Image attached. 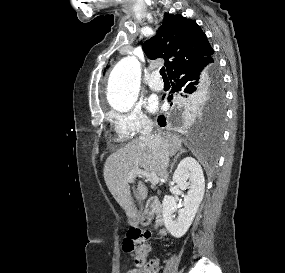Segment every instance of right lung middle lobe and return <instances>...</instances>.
<instances>
[{
	"label": "right lung middle lobe",
	"mask_w": 285,
	"mask_h": 273,
	"mask_svg": "<svg viewBox=\"0 0 285 273\" xmlns=\"http://www.w3.org/2000/svg\"><path fill=\"white\" fill-rule=\"evenodd\" d=\"M212 94L216 99V108H215V115L218 119H221L223 117V108L221 107L220 97H221V75L218 71L217 64L215 62V66L212 71V75L209 78V80L206 82V84L198 90L195 94H184L181 95L183 97L184 103H190L194 102L199 96H204Z\"/></svg>",
	"instance_id": "right-lung-middle-lobe-1"
}]
</instances>
